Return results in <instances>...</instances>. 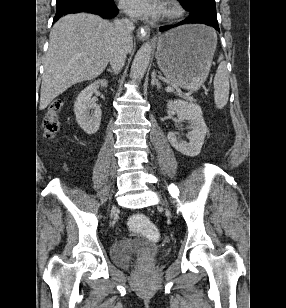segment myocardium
<instances>
[{"mask_svg": "<svg viewBox=\"0 0 286 308\" xmlns=\"http://www.w3.org/2000/svg\"><path fill=\"white\" fill-rule=\"evenodd\" d=\"M182 7L175 0H168L163 7L162 18L164 20H173L181 16Z\"/></svg>", "mask_w": 286, "mask_h": 308, "instance_id": "myocardium-1", "label": "myocardium"}]
</instances>
